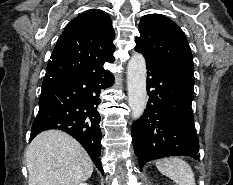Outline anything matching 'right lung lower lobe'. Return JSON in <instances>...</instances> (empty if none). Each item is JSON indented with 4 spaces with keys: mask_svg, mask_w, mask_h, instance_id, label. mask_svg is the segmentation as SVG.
I'll list each match as a JSON object with an SVG mask.
<instances>
[{
    "mask_svg": "<svg viewBox=\"0 0 233 185\" xmlns=\"http://www.w3.org/2000/svg\"><path fill=\"white\" fill-rule=\"evenodd\" d=\"M113 82V74L105 69L44 80L30 140L47 129L65 131L81 143L103 174L97 106L100 91Z\"/></svg>",
    "mask_w": 233,
    "mask_h": 185,
    "instance_id": "right-lung-lower-lobe-1",
    "label": "right lung lower lobe"
}]
</instances>
